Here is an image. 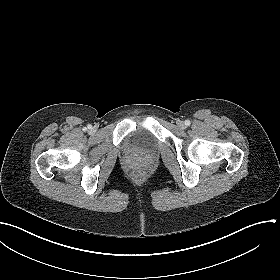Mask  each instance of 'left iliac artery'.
I'll use <instances>...</instances> for the list:
<instances>
[{"mask_svg": "<svg viewBox=\"0 0 280 280\" xmlns=\"http://www.w3.org/2000/svg\"><path fill=\"white\" fill-rule=\"evenodd\" d=\"M191 123H190V121L189 120H185V125L186 126H189Z\"/></svg>", "mask_w": 280, "mask_h": 280, "instance_id": "obj_1", "label": "left iliac artery"}]
</instances>
